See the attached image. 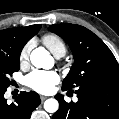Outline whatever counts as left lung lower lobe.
Returning a JSON list of instances; mask_svg holds the SVG:
<instances>
[{
	"mask_svg": "<svg viewBox=\"0 0 119 119\" xmlns=\"http://www.w3.org/2000/svg\"><path fill=\"white\" fill-rule=\"evenodd\" d=\"M75 93L76 103L65 102L60 94L55 96L60 106L53 119H119V86L82 87Z\"/></svg>",
	"mask_w": 119,
	"mask_h": 119,
	"instance_id": "left-lung-lower-lobe-1",
	"label": "left lung lower lobe"
}]
</instances>
